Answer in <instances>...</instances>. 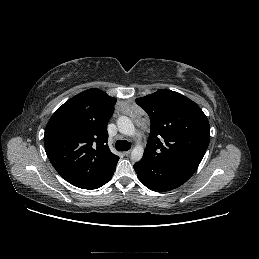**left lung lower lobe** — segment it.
<instances>
[{
  "label": "left lung lower lobe",
  "instance_id": "0a47b994",
  "mask_svg": "<svg viewBox=\"0 0 259 259\" xmlns=\"http://www.w3.org/2000/svg\"><path fill=\"white\" fill-rule=\"evenodd\" d=\"M134 170L142 184L156 192L175 189L185 183L194 172L166 162L157 161L143 156L134 165Z\"/></svg>",
  "mask_w": 259,
  "mask_h": 259
}]
</instances>
